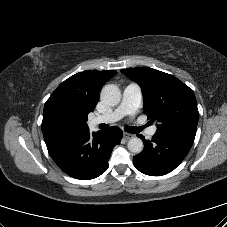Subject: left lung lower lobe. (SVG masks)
<instances>
[{"label": "left lung lower lobe", "instance_id": "1", "mask_svg": "<svg viewBox=\"0 0 227 227\" xmlns=\"http://www.w3.org/2000/svg\"><path fill=\"white\" fill-rule=\"evenodd\" d=\"M144 140L143 151L133 157L135 167L150 176H160L174 170L189 152L194 138L180 133L156 131L152 140Z\"/></svg>", "mask_w": 227, "mask_h": 227}]
</instances>
